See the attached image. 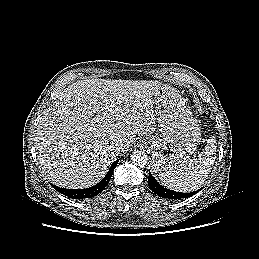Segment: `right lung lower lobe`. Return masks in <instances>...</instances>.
<instances>
[{
  "label": "right lung lower lobe",
  "instance_id": "right-lung-lower-lobe-1",
  "mask_svg": "<svg viewBox=\"0 0 259 259\" xmlns=\"http://www.w3.org/2000/svg\"><path fill=\"white\" fill-rule=\"evenodd\" d=\"M118 162L119 160H116L115 162H113L106 176L95 186H92L86 189H79V190L60 188L55 185H52V186L61 194L66 195L69 198H73V199L90 198V197L96 196L100 192H102L104 188L108 185L112 177L114 168L118 164Z\"/></svg>",
  "mask_w": 259,
  "mask_h": 259
}]
</instances>
